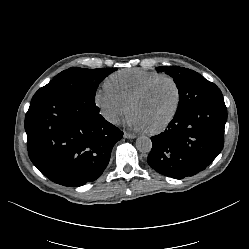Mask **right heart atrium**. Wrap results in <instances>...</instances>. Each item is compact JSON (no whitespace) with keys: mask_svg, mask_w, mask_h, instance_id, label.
Listing matches in <instances>:
<instances>
[{"mask_svg":"<svg viewBox=\"0 0 249 249\" xmlns=\"http://www.w3.org/2000/svg\"><path fill=\"white\" fill-rule=\"evenodd\" d=\"M94 104L100 115L109 123L115 124L127 109V102L112 93L108 88L98 89L94 94Z\"/></svg>","mask_w":249,"mask_h":249,"instance_id":"right-heart-atrium-1","label":"right heart atrium"}]
</instances>
